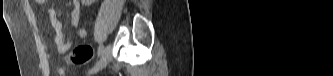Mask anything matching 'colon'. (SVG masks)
I'll list each match as a JSON object with an SVG mask.
<instances>
[{
    "instance_id": "colon-1",
    "label": "colon",
    "mask_w": 333,
    "mask_h": 76,
    "mask_svg": "<svg viewBox=\"0 0 333 76\" xmlns=\"http://www.w3.org/2000/svg\"><path fill=\"white\" fill-rule=\"evenodd\" d=\"M93 57V48L90 45L83 44L76 47L72 53H70L66 60L70 64L84 65L89 62Z\"/></svg>"
}]
</instances>
